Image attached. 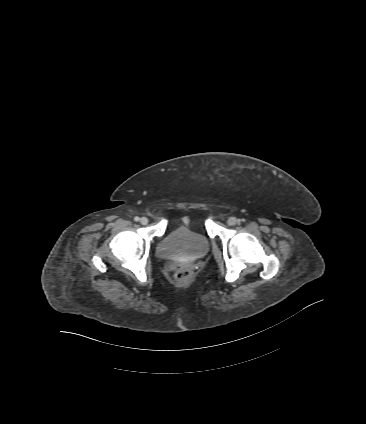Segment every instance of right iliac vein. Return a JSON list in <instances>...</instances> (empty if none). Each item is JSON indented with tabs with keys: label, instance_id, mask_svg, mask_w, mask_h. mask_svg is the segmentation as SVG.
I'll return each instance as SVG.
<instances>
[{
	"label": "right iliac vein",
	"instance_id": "obj_1",
	"mask_svg": "<svg viewBox=\"0 0 366 424\" xmlns=\"http://www.w3.org/2000/svg\"><path fill=\"white\" fill-rule=\"evenodd\" d=\"M140 223H141V224H143V225L148 224V218H146V217H142V218L140 219Z\"/></svg>",
	"mask_w": 366,
	"mask_h": 424
}]
</instances>
